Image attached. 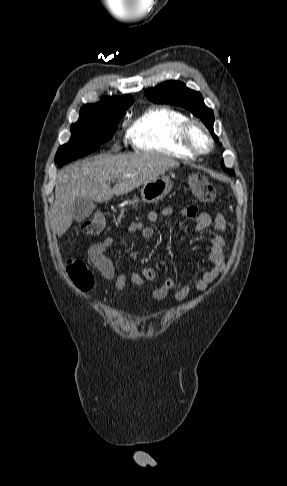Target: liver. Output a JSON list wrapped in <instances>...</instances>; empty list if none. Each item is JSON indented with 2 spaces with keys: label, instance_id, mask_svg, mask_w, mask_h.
<instances>
[{
  "label": "liver",
  "instance_id": "liver-1",
  "mask_svg": "<svg viewBox=\"0 0 287 486\" xmlns=\"http://www.w3.org/2000/svg\"><path fill=\"white\" fill-rule=\"evenodd\" d=\"M179 165L178 161L161 154L136 153L102 154L65 168L56 180L52 231L61 236L70 228L77 197H89L102 203L157 179ZM115 179L118 183L111 188L110 182Z\"/></svg>",
  "mask_w": 287,
  "mask_h": 486
}]
</instances>
